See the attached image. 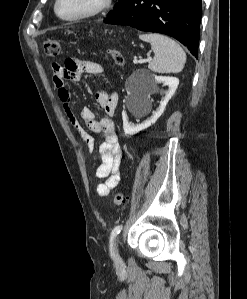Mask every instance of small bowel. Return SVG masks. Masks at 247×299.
I'll return each instance as SVG.
<instances>
[{
	"instance_id": "1",
	"label": "small bowel",
	"mask_w": 247,
	"mask_h": 299,
	"mask_svg": "<svg viewBox=\"0 0 247 299\" xmlns=\"http://www.w3.org/2000/svg\"><path fill=\"white\" fill-rule=\"evenodd\" d=\"M85 72L102 74L104 68L97 62L75 58L67 59L63 65L52 64L53 83L63 104L65 115L84 141L87 151L92 152L94 138L86 132L73 112L71 107L72 95L65 84V80L80 81ZM95 98L105 116L97 120L95 113L89 107L82 108L80 115L83 123L90 131L104 136V141L99 147L101 164L97 168L96 176L102 179L97 186V193L99 197L106 198L120 182L121 165L124 158V152L118 141L112 120L118 104V94L115 90L102 89L96 93Z\"/></svg>"
}]
</instances>
